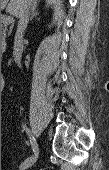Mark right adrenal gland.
Returning a JSON list of instances; mask_svg holds the SVG:
<instances>
[{
  "label": "right adrenal gland",
  "instance_id": "2a0ac1e0",
  "mask_svg": "<svg viewBox=\"0 0 109 170\" xmlns=\"http://www.w3.org/2000/svg\"><path fill=\"white\" fill-rule=\"evenodd\" d=\"M36 8H37V0H35V2L32 5L30 20H32L34 16L39 15V13L36 11Z\"/></svg>",
  "mask_w": 109,
  "mask_h": 170
}]
</instances>
